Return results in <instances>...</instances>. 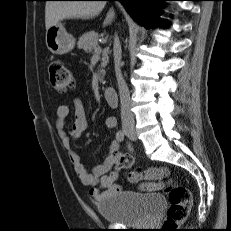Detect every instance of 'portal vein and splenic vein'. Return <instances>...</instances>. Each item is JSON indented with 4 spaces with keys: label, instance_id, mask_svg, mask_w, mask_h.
Instances as JSON below:
<instances>
[{
    "label": "portal vein and splenic vein",
    "instance_id": "1",
    "mask_svg": "<svg viewBox=\"0 0 231 231\" xmlns=\"http://www.w3.org/2000/svg\"><path fill=\"white\" fill-rule=\"evenodd\" d=\"M96 51V55H99L100 54V51H101V48H98L95 50Z\"/></svg>",
    "mask_w": 231,
    "mask_h": 231
}]
</instances>
